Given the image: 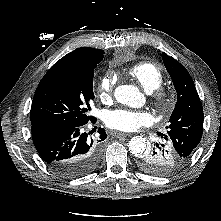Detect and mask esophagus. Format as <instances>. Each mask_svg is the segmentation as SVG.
I'll use <instances>...</instances> for the list:
<instances>
[{"label":"esophagus","mask_w":221,"mask_h":221,"mask_svg":"<svg viewBox=\"0 0 221 221\" xmlns=\"http://www.w3.org/2000/svg\"><path fill=\"white\" fill-rule=\"evenodd\" d=\"M114 136L117 137V138H119V137H129V136H131V134L130 133H124V132H115Z\"/></svg>","instance_id":"obj_1"}]
</instances>
